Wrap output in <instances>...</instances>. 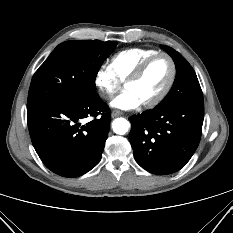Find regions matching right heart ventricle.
I'll use <instances>...</instances> for the list:
<instances>
[{
    "instance_id": "e07e8e85",
    "label": "right heart ventricle",
    "mask_w": 233,
    "mask_h": 233,
    "mask_svg": "<svg viewBox=\"0 0 233 233\" xmlns=\"http://www.w3.org/2000/svg\"><path fill=\"white\" fill-rule=\"evenodd\" d=\"M154 49L133 48L119 52L111 58L108 68L123 83L147 58L157 54Z\"/></svg>"
}]
</instances>
